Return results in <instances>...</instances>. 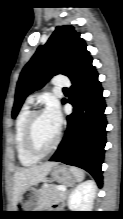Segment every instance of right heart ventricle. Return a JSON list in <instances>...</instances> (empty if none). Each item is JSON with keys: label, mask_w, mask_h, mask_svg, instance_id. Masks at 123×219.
I'll list each match as a JSON object with an SVG mask.
<instances>
[{"label": "right heart ventricle", "mask_w": 123, "mask_h": 219, "mask_svg": "<svg viewBox=\"0 0 123 219\" xmlns=\"http://www.w3.org/2000/svg\"><path fill=\"white\" fill-rule=\"evenodd\" d=\"M32 111L28 105H25L17 116L15 124L14 143L17 153V158L21 165L29 167L38 162V158L31 156L25 147V128L28 117Z\"/></svg>", "instance_id": "1"}]
</instances>
